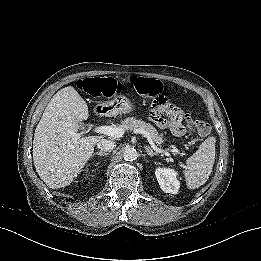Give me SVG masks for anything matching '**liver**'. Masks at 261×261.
<instances>
[{"instance_id": "liver-1", "label": "liver", "mask_w": 261, "mask_h": 261, "mask_svg": "<svg viewBox=\"0 0 261 261\" xmlns=\"http://www.w3.org/2000/svg\"><path fill=\"white\" fill-rule=\"evenodd\" d=\"M88 106L72 86L60 89L48 103L34 133L33 160L51 188L69 185L85 166L101 136L76 138Z\"/></svg>"}]
</instances>
